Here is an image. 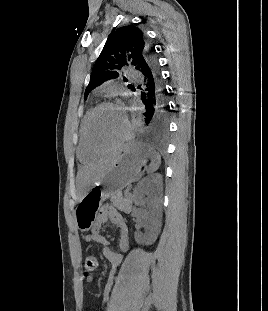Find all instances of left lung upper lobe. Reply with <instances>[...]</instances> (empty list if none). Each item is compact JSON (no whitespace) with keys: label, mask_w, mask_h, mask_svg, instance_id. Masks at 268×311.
<instances>
[{"label":"left lung upper lobe","mask_w":268,"mask_h":311,"mask_svg":"<svg viewBox=\"0 0 268 311\" xmlns=\"http://www.w3.org/2000/svg\"><path fill=\"white\" fill-rule=\"evenodd\" d=\"M147 44L142 30L135 26H123L107 39L91 73L84 98L103 82L117 78L125 66L138 70L139 63L147 58Z\"/></svg>","instance_id":"obj_1"}]
</instances>
